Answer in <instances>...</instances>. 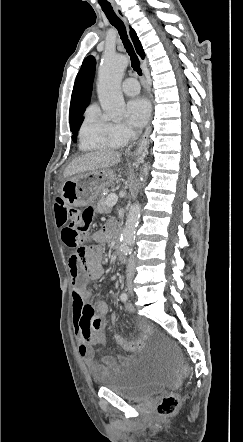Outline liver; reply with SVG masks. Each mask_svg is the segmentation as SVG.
Returning <instances> with one entry per match:
<instances>
[{"instance_id":"6515ba94","label":"liver","mask_w":243,"mask_h":442,"mask_svg":"<svg viewBox=\"0 0 243 442\" xmlns=\"http://www.w3.org/2000/svg\"><path fill=\"white\" fill-rule=\"evenodd\" d=\"M121 160V154L113 150H99L86 153L75 158L65 169L64 177L75 174L92 172L117 165Z\"/></svg>"}]
</instances>
